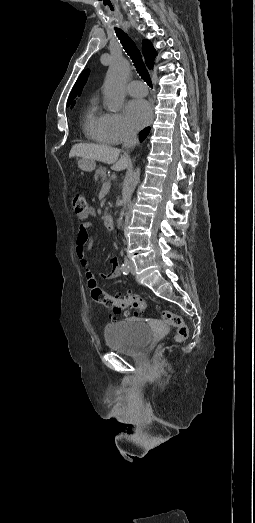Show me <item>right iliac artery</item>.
<instances>
[{
	"label": "right iliac artery",
	"instance_id": "82829eb1",
	"mask_svg": "<svg viewBox=\"0 0 255 523\" xmlns=\"http://www.w3.org/2000/svg\"><path fill=\"white\" fill-rule=\"evenodd\" d=\"M121 271H122L123 274H128V273H129V267H128V265L123 263V264L121 265Z\"/></svg>",
	"mask_w": 255,
	"mask_h": 523
}]
</instances>
